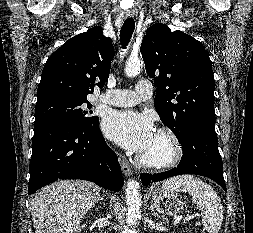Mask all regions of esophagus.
I'll use <instances>...</instances> for the list:
<instances>
[{
	"mask_svg": "<svg viewBox=\"0 0 253 233\" xmlns=\"http://www.w3.org/2000/svg\"><path fill=\"white\" fill-rule=\"evenodd\" d=\"M126 17H133L135 15L134 11H127L125 13ZM119 162L121 165V169L125 176H131L133 174L132 168L126 158L122 155L119 156Z\"/></svg>",
	"mask_w": 253,
	"mask_h": 233,
	"instance_id": "1",
	"label": "esophagus"
}]
</instances>
